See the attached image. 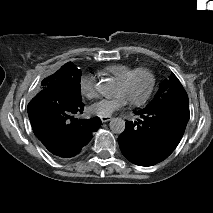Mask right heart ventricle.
Wrapping results in <instances>:
<instances>
[{
	"label": "right heart ventricle",
	"instance_id": "1",
	"mask_svg": "<svg viewBox=\"0 0 213 213\" xmlns=\"http://www.w3.org/2000/svg\"><path fill=\"white\" fill-rule=\"evenodd\" d=\"M112 73H114L121 79H125V78H128L133 73V71H131L128 66H119L113 69Z\"/></svg>",
	"mask_w": 213,
	"mask_h": 213
}]
</instances>
